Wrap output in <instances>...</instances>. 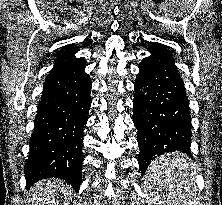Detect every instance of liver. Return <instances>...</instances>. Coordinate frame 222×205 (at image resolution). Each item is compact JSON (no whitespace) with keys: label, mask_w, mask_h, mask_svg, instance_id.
Segmentation results:
<instances>
[{"label":"liver","mask_w":222,"mask_h":205,"mask_svg":"<svg viewBox=\"0 0 222 205\" xmlns=\"http://www.w3.org/2000/svg\"><path fill=\"white\" fill-rule=\"evenodd\" d=\"M72 189L60 179H46L30 190L28 205H69Z\"/></svg>","instance_id":"1"}]
</instances>
